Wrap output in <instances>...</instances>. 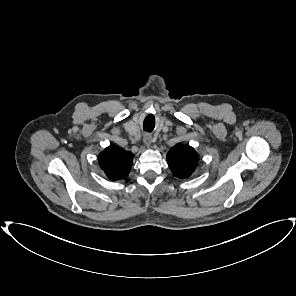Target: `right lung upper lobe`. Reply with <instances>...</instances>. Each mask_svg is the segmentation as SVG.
Returning a JSON list of instances; mask_svg holds the SVG:
<instances>
[{
	"label": "right lung upper lobe",
	"instance_id": "cb5924a9",
	"mask_svg": "<svg viewBox=\"0 0 296 296\" xmlns=\"http://www.w3.org/2000/svg\"><path fill=\"white\" fill-rule=\"evenodd\" d=\"M133 154L120 147H107L98 157L99 164L110 180L124 179L128 176Z\"/></svg>",
	"mask_w": 296,
	"mask_h": 296
}]
</instances>
